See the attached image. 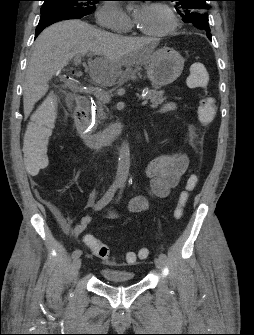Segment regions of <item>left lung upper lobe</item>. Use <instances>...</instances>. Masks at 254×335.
Segmentation results:
<instances>
[{
  "mask_svg": "<svg viewBox=\"0 0 254 335\" xmlns=\"http://www.w3.org/2000/svg\"><path fill=\"white\" fill-rule=\"evenodd\" d=\"M176 2V10L184 22L192 23L197 29L211 37L208 24L207 0H171Z\"/></svg>",
  "mask_w": 254,
  "mask_h": 335,
  "instance_id": "5c2ea615",
  "label": "left lung upper lobe"
}]
</instances>
